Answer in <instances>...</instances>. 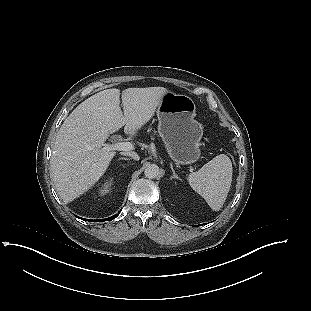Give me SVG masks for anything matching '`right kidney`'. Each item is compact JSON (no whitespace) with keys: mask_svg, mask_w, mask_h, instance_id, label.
I'll return each mask as SVG.
<instances>
[{"mask_svg":"<svg viewBox=\"0 0 311 311\" xmlns=\"http://www.w3.org/2000/svg\"><path fill=\"white\" fill-rule=\"evenodd\" d=\"M107 191H108V190H103V192H105V193H106Z\"/></svg>","mask_w":311,"mask_h":311,"instance_id":"1","label":"right kidney"}]
</instances>
